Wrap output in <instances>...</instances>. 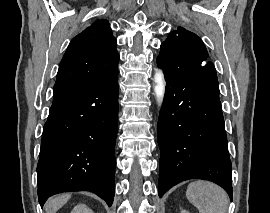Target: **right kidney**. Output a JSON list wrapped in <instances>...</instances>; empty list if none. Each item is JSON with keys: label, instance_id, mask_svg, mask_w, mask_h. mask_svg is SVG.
I'll use <instances>...</instances> for the list:
<instances>
[{"label": "right kidney", "instance_id": "obj_1", "mask_svg": "<svg viewBox=\"0 0 270 213\" xmlns=\"http://www.w3.org/2000/svg\"><path fill=\"white\" fill-rule=\"evenodd\" d=\"M71 213H93V211L85 204H78L73 208Z\"/></svg>", "mask_w": 270, "mask_h": 213}]
</instances>
